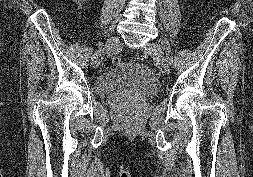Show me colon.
<instances>
[{
	"instance_id": "obj_1",
	"label": "colon",
	"mask_w": 253,
	"mask_h": 177,
	"mask_svg": "<svg viewBox=\"0 0 253 177\" xmlns=\"http://www.w3.org/2000/svg\"><path fill=\"white\" fill-rule=\"evenodd\" d=\"M112 63H113L114 65H119V64L121 63V59H120L119 57H114V58L112 59Z\"/></svg>"
}]
</instances>
